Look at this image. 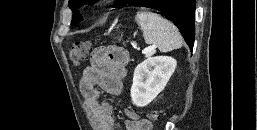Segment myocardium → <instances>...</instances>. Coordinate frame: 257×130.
Wrapping results in <instances>:
<instances>
[{
    "instance_id": "f54148a6",
    "label": "myocardium",
    "mask_w": 257,
    "mask_h": 130,
    "mask_svg": "<svg viewBox=\"0 0 257 130\" xmlns=\"http://www.w3.org/2000/svg\"><path fill=\"white\" fill-rule=\"evenodd\" d=\"M102 0H97L96 2H101Z\"/></svg>"
}]
</instances>
